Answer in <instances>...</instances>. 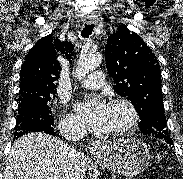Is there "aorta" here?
I'll return each mask as SVG.
<instances>
[{
    "label": "aorta",
    "mask_w": 183,
    "mask_h": 179,
    "mask_svg": "<svg viewBox=\"0 0 183 179\" xmlns=\"http://www.w3.org/2000/svg\"><path fill=\"white\" fill-rule=\"evenodd\" d=\"M102 62V55L99 53H91L81 56L76 65L77 79H83L88 73L95 70Z\"/></svg>",
    "instance_id": "762f6f07"
}]
</instances>
